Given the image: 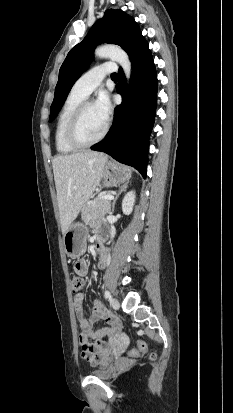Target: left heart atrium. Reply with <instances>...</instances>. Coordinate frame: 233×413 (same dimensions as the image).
Returning <instances> with one entry per match:
<instances>
[{"label": "left heart atrium", "mask_w": 233, "mask_h": 413, "mask_svg": "<svg viewBox=\"0 0 233 413\" xmlns=\"http://www.w3.org/2000/svg\"><path fill=\"white\" fill-rule=\"evenodd\" d=\"M94 104L103 119L108 121L112 113V104L109 96L104 92L101 93Z\"/></svg>", "instance_id": "left-heart-atrium-1"}]
</instances>
